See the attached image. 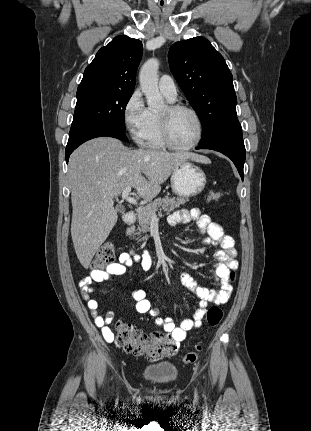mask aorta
<instances>
[{
  "instance_id": "762f6f07",
  "label": "aorta",
  "mask_w": 311,
  "mask_h": 431,
  "mask_svg": "<svg viewBox=\"0 0 311 431\" xmlns=\"http://www.w3.org/2000/svg\"><path fill=\"white\" fill-rule=\"evenodd\" d=\"M158 70L159 62L156 58H150L143 64L140 74L139 82L140 88L147 100L149 108H164V100L158 88Z\"/></svg>"
}]
</instances>
